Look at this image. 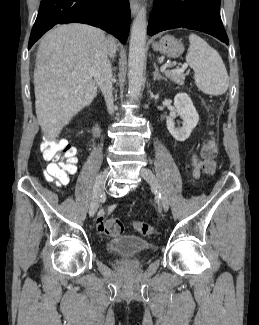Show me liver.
<instances>
[{
	"label": "liver",
	"mask_w": 259,
	"mask_h": 325,
	"mask_svg": "<svg viewBox=\"0 0 259 325\" xmlns=\"http://www.w3.org/2000/svg\"><path fill=\"white\" fill-rule=\"evenodd\" d=\"M105 41L114 57L115 39H106L103 31L89 25H59L42 38L36 55L34 90L37 120L47 140L58 137L95 98L92 66Z\"/></svg>",
	"instance_id": "liver-1"
}]
</instances>
